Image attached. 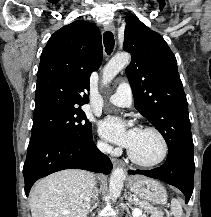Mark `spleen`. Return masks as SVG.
<instances>
[{
  "instance_id": "3e777b00",
  "label": "spleen",
  "mask_w": 211,
  "mask_h": 217,
  "mask_svg": "<svg viewBox=\"0 0 211 217\" xmlns=\"http://www.w3.org/2000/svg\"><path fill=\"white\" fill-rule=\"evenodd\" d=\"M171 210L174 215V217H182L183 210L180 202L176 199H173L171 201Z\"/></svg>"
}]
</instances>
